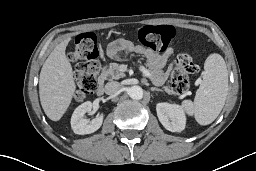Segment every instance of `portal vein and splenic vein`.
<instances>
[{
    "mask_svg": "<svg viewBox=\"0 0 256 171\" xmlns=\"http://www.w3.org/2000/svg\"><path fill=\"white\" fill-rule=\"evenodd\" d=\"M140 71L146 76V77H150L151 73L149 72V70H147L144 66H140Z\"/></svg>",
    "mask_w": 256,
    "mask_h": 171,
    "instance_id": "portal-vein-and-splenic-vein-1",
    "label": "portal vein and splenic vein"
}]
</instances>
